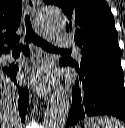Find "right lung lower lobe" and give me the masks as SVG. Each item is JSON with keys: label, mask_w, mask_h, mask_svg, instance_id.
I'll return each mask as SVG.
<instances>
[{"label": "right lung lower lobe", "mask_w": 125, "mask_h": 128, "mask_svg": "<svg viewBox=\"0 0 125 128\" xmlns=\"http://www.w3.org/2000/svg\"><path fill=\"white\" fill-rule=\"evenodd\" d=\"M9 52V50H6L5 53ZM23 53L25 55H29L30 54V50L28 47H26L23 51ZM2 71L5 72L10 78L11 80L14 82V84H16L17 86V92H18V110H19V115L21 117V121L25 120V115H26V111H27V106H28V97H29V91L27 89V87H20L19 85H17L15 79H16V75L18 72V65H9L7 67L2 68Z\"/></svg>", "instance_id": "right-lung-lower-lobe-1"}]
</instances>
